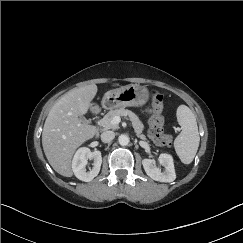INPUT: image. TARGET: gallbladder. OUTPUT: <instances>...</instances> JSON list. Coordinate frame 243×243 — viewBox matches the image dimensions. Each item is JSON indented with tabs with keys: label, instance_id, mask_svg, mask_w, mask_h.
Wrapping results in <instances>:
<instances>
[{
	"label": "gallbladder",
	"instance_id": "1",
	"mask_svg": "<svg viewBox=\"0 0 243 243\" xmlns=\"http://www.w3.org/2000/svg\"><path fill=\"white\" fill-rule=\"evenodd\" d=\"M80 118H81V120H82L83 122H86V121H87L83 116H81Z\"/></svg>",
	"mask_w": 243,
	"mask_h": 243
}]
</instances>
